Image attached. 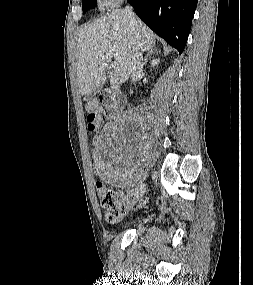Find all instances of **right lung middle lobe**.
<instances>
[{"instance_id":"1","label":"right lung middle lobe","mask_w":253,"mask_h":285,"mask_svg":"<svg viewBox=\"0 0 253 285\" xmlns=\"http://www.w3.org/2000/svg\"><path fill=\"white\" fill-rule=\"evenodd\" d=\"M95 6H96V0H83L82 1L83 13H86L88 9L94 8Z\"/></svg>"}]
</instances>
